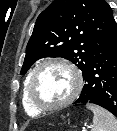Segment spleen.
<instances>
[{
    "mask_svg": "<svg viewBox=\"0 0 117 131\" xmlns=\"http://www.w3.org/2000/svg\"><path fill=\"white\" fill-rule=\"evenodd\" d=\"M86 108L91 110L93 116L92 131H117V119L109 111L94 104H86Z\"/></svg>",
    "mask_w": 117,
    "mask_h": 131,
    "instance_id": "obj_1",
    "label": "spleen"
}]
</instances>
